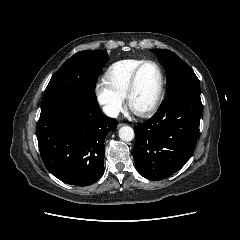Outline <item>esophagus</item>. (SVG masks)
<instances>
[{
  "label": "esophagus",
  "instance_id": "esophagus-1",
  "mask_svg": "<svg viewBox=\"0 0 240 240\" xmlns=\"http://www.w3.org/2000/svg\"><path fill=\"white\" fill-rule=\"evenodd\" d=\"M123 125H124V123H122V122L118 123V127H121Z\"/></svg>",
  "mask_w": 240,
  "mask_h": 240
}]
</instances>
